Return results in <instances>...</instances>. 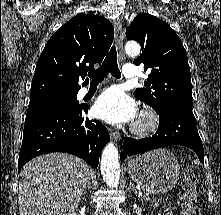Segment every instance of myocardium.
Segmentation results:
<instances>
[{
    "mask_svg": "<svg viewBox=\"0 0 221 215\" xmlns=\"http://www.w3.org/2000/svg\"><path fill=\"white\" fill-rule=\"evenodd\" d=\"M159 126V116L151 108L143 109L132 127V132L137 136H147L155 132Z\"/></svg>",
    "mask_w": 221,
    "mask_h": 215,
    "instance_id": "1",
    "label": "myocardium"
}]
</instances>
